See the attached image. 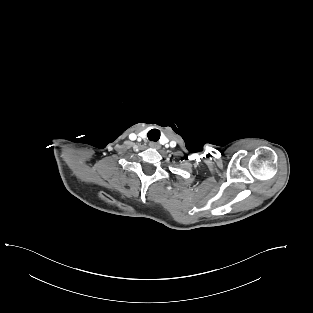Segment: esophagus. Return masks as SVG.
Masks as SVG:
<instances>
[{
    "label": "esophagus",
    "instance_id": "obj_1",
    "mask_svg": "<svg viewBox=\"0 0 313 313\" xmlns=\"http://www.w3.org/2000/svg\"><path fill=\"white\" fill-rule=\"evenodd\" d=\"M149 146L152 147V148H159V144L156 143V142H150Z\"/></svg>",
    "mask_w": 313,
    "mask_h": 313
}]
</instances>
